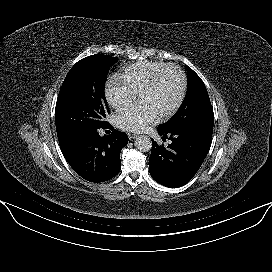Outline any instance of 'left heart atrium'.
<instances>
[{"instance_id": "obj_1", "label": "left heart atrium", "mask_w": 272, "mask_h": 272, "mask_svg": "<svg viewBox=\"0 0 272 272\" xmlns=\"http://www.w3.org/2000/svg\"><path fill=\"white\" fill-rule=\"evenodd\" d=\"M159 114L148 104L133 105L115 117L116 125L126 131L141 132L156 123Z\"/></svg>"}]
</instances>
